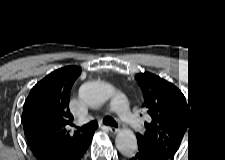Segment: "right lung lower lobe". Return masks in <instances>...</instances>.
Segmentation results:
<instances>
[{"label":"right lung lower lobe","instance_id":"obj_1","mask_svg":"<svg viewBox=\"0 0 225 160\" xmlns=\"http://www.w3.org/2000/svg\"><path fill=\"white\" fill-rule=\"evenodd\" d=\"M92 131H93L92 132V137H93L94 130ZM92 137H90L87 141H85L80 146H78L75 150H72L69 152L56 151V153L52 155L42 154V155H39V159L41 160H81L92 141Z\"/></svg>","mask_w":225,"mask_h":160}]
</instances>
